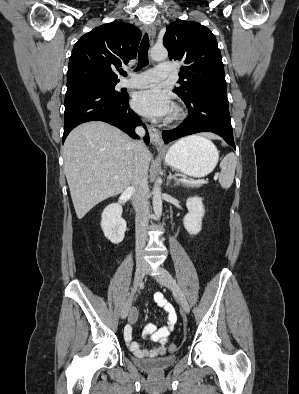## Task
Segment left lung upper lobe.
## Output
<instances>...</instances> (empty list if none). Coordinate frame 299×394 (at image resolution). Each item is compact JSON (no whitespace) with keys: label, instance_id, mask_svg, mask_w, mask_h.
I'll return each mask as SVG.
<instances>
[{"label":"left lung upper lobe","instance_id":"obj_1","mask_svg":"<svg viewBox=\"0 0 299 394\" xmlns=\"http://www.w3.org/2000/svg\"><path fill=\"white\" fill-rule=\"evenodd\" d=\"M164 46L170 60H182L179 87L174 92L187 101L196 89L226 86L224 66L212 32L200 23L177 19L167 26Z\"/></svg>","mask_w":299,"mask_h":394}]
</instances>
